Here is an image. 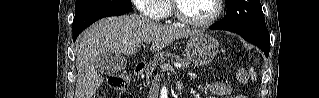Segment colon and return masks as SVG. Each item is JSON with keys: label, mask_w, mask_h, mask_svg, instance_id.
<instances>
[{"label": "colon", "mask_w": 319, "mask_h": 98, "mask_svg": "<svg viewBox=\"0 0 319 98\" xmlns=\"http://www.w3.org/2000/svg\"><path fill=\"white\" fill-rule=\"evenodd\" d=\"M244 77V73H237V78L242 79ZM129 83L128 76L124 73L111 75L108 78L109 86L116 91H121L120 98H130V95L125 92ZM102 98V97H99Z\"/></svg>", "instance_id": "colon-1"}]
</instances>
